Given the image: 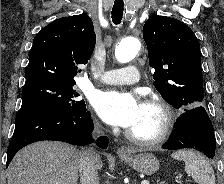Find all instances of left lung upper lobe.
<instances>
[{
	"instance_id": "obj_1",
	"label": "left lung upper lobe",
	"mask_w": 224,
	"mask_h": 184,
	"mask_svg": "<svg viewBox=\"0 0 224 184\" xmlns=\"http://www.w3.org/2000/svg\"><path fill=\"white\" fill-rule=\"evenodd\" d=\"M154 86L174 108L202 105L200 44L183 22L166 16H151L143 27Z\"/></svg>"
}]
</instances>
